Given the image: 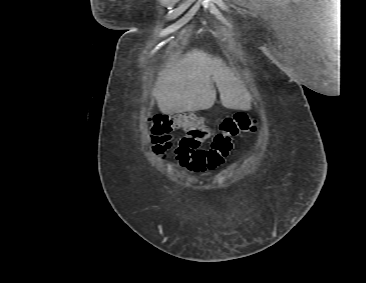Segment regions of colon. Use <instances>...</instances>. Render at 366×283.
<instances>
[{"label": "colon", "instance_id": "colon-1", "mask_svg": "<svg viewBox=\"0 0 366 283\" xmlns=\"http://www.w3.org/2000/svg\"><path fill=\"white\" fill-rule=\"evenodd\" d=\"M148 124L155 135L183 129L184 134L178 138L174 147V155L183 166L196 172L215 166L219 162L216 159L217 151L221 150L224 156L229 154L236 137L243 133L255 132L257 129L255 119L243 112L235 113L222 120L218 133L212 137L210 147L201 149V143L210 137V130L204 120L195 114H154L149 116Z\"/></svg>", "mask_w": 366, "mask_h": 283}]
</instances>
